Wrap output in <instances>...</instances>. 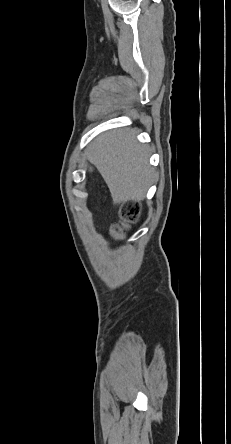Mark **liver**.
<instances>
[{"label": "liver", "instance_id": "obj_1", "mask_svg": "<svg viewBox=\"0 0 231 444\" xmlns=\"http://www.w3.org/2000/svg\"><path fill=\"white\" fill-rule=\"evenodd\" d=\"M133 129L107 132L88 148V158L97 167L117 202L144 199L154 181L148 148L137 143Z\"/></svg>", "mask_w": 231, "mask_h": 444}]
</instances>
